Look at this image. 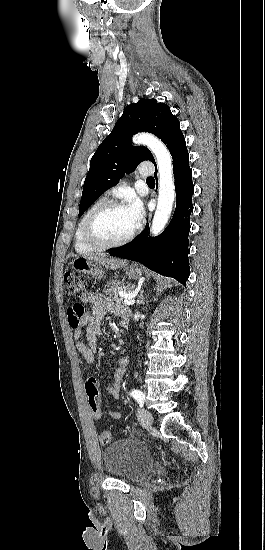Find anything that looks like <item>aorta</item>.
<instances>
[{"instance_id": "aorta-1", "label": "aorta", "mask_w": 265, "mask_h": 550, "mask_svg": "<svg viewBox=\"0 0 265 550\" xmlns=\"http://www.w3.org/2000/svg\"><path fill=\"white\" fill-rule=\"evenodd\" d=\"M135 144L146 145L154 154L159 173L158 204L150 232L159 235L165 228L171 215L175 199V185L171 155L166 146L151 134H139L133 138Z\"/></svg>"}]
</instances>
